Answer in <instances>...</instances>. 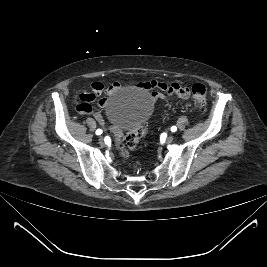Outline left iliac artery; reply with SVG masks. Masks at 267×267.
<instances>
[{"mask_svg":"<svg viewBox=\"0 0 267 267\" xmlns=\"http://www.w3.org/2000/svg\"><path fill=\"white\" fill-rule=\"evenodd\" d=\"M176 130H177V127H176V126H172V127H171V131H172V132H175Z\"/></svg>","mask_w":267,"mask_h":267,"instance_id":"44dca946","label":"left iliac artery"}]
</instances>
